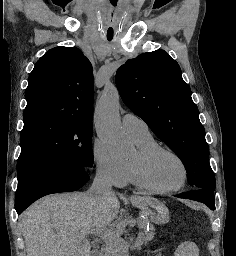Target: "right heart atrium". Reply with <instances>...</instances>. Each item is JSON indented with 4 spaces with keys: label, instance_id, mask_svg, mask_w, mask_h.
<instances>
[{
    "label": "right heart atrium",
    "instance_id": "d8ad5b80",
    "mask_svg": "<svg viewBox=\"0 0 236 256\" xmlns=\"http://www.w3.org/2000/svg\"><path fill=\"white\" fill-rule=\"evenodd\" d=\"M94 119L96 120V118ZM91 160L98 178L116 188H123L127 185V164L114 160L99 139L93 142Z\"/></svg>",
    "mask_w": 236,
    "mask_h": 256
}]
</instances>
